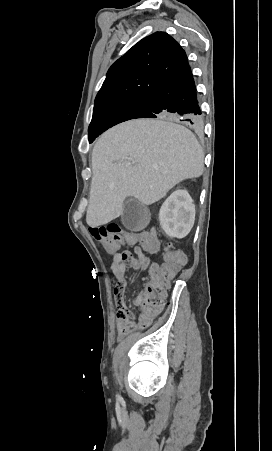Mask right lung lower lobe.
<instances>
[{"instance_id":"obj_1","label":"right lung lower lobe","mask_w":272,"mask_h":451,"mask_svg":"<svg viewBox=\"0 0 272 451\" xmlns=\"http://www.w3.org/2000/svg\"><path fill=\"white\" fill-rule=\"evenodd\" d=\"M201 114L195 81L187 64L150 95L147 108L136 118L173 119L199 127Z\"/></svg>"}]
</instances>
